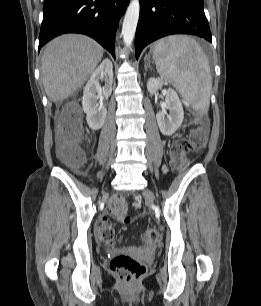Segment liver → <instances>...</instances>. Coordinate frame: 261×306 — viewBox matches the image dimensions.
<instances>
[{
  "label": "liver",
  "instance_id": "liver-1",
  "mask_svg": "<svg viewBox=\"0 0 261 306\" xmlns=\"http://www.w3.org/2000/svg\"><path fill=\"white\" fill-rule=\"evenodd\" d=\"M102 57L103 48L84 35H62L50 41L41 59L47 97L53 102L68 98L86 82Z\"/></svg>",
  "mask_w": 261,
  "mask_h": 306
}]
</instances>
